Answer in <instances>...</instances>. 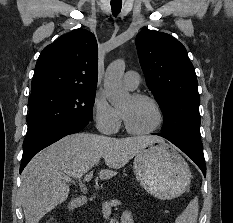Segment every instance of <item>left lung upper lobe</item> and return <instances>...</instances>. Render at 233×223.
Returning <instances> with one entry per match:
<instances>
[{"label":"left lung upper lobe","mask_w":233,"mask_h":223,"mask_svg":"<svg viewBox=\"0 0 233 223\" xmlns=\"http://www.w3.org/2000/svg\"><path fill=\"white\" fill-rule=\"evenodd\" d=\"M136 47L147 86L164 116L161 134L201 141L197 78L185 47L154 30H142Z\"/></svg>","instance_id":"left-lung-upper-lobe-1"}]
</instances>
